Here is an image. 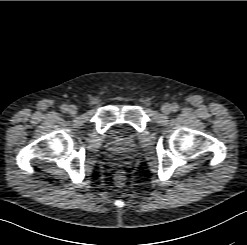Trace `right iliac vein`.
I'll return each mask as SVG.
<instances>
[{"instance_id":"1","label":"right iliac vein","mask_w":247,"mask_h":245,"mask_svg":"<svg viewBox=\"0 0 247 245\" xmlns=\"http://www.w3.org/2000/svg\"><path fill=\"white\" fill-rule=\"evenodd\" d=\"M78 112V109L75 105H70L68 107V113L71 115V116H75Z\"/></svg>"}]
</instances>
